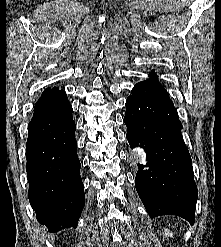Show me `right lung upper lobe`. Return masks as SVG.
Listing matches in <instances>:
<instances>
[{
    "label": "right lung upper lobe",
    "instance_id": "cb5924a9",
    "mask_svg": "<svg viewBox=\"0 0 221 247\" xmlns=\"http://www.w3.org/2000/svg\"><path fill=\"white\" fill-rule=\"evenodd\" d=\"M57 90H58L57 87H54V88L48 87L47 89L44 90V92L42 93L41 97H42V96H45V95H47V94H50V93H52V92H55V91H57Z\"/></svg>",
    "mask_w": 221,
    "mask_h": 247
}]
</instances>
